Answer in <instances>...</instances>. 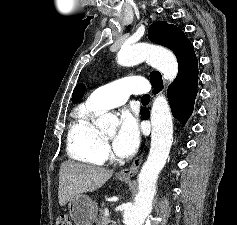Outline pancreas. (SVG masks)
<instances>
[{
  "mask_svg": "<svg viewBox=\"0 0 237 225\" xmlns=\"http://www.w3.org/2000/svg\"><path fill=\"white\" fill-rule=\"evenodd\" d=\"M104 222H109V219L104 216V210L100 209V213H99L97 219L95 220V223H96V225H104ZM111 225H113V224H111Z\"/></svg>",
  "mask_w": 237,
  "mask_h": 225,
  "instance_id": "pancreas-1",
  "label": "pancreas"
}]
</instances>
